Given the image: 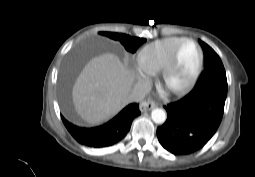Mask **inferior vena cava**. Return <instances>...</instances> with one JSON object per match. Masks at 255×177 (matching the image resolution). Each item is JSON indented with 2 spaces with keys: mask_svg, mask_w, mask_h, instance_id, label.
Here are the masks:
<instances>
[{
  "mask_svg": "<svg viewBox=\"0 0 255 177\" xmlns=\"http://www.w3.org/2000/svg\"><path fill=\"white\" fill-rule=\"evenodd\" d=\"M150 86L146 82L137 83L126 97V102H139L142 101L145 95L149 92Z\"/></svg>",
  "mask_w": 255,
  "mask_h": 177,
  "instance_id": "1",
  "label": "inferior vena cava"
}]
</instances>
